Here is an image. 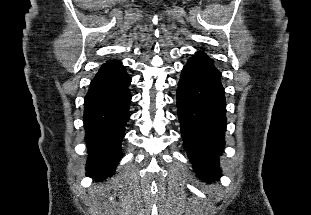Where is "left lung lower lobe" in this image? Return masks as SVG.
I'll return each mask as SVG.
<instances>
[{"label":"left lung lower lobe","instance_id":"left-lung-lower-lobe-1","mask_svg":"<svg viewBox=\"0 0 311 215\" xmlns=\"http://www.w3.org/2000/svg\"><path fill=\"white\" fill-rule=\"evenodd\" d=\"M221 74L205 53H196L182 70L177 113L185 149L206 182L220 174L218 157L225 145L226 102Z\"/></svg>","mask_w":311,"mask_h":215}]
</instances>
